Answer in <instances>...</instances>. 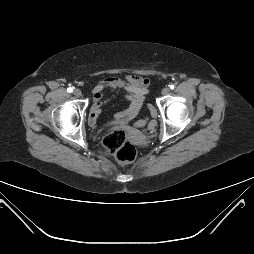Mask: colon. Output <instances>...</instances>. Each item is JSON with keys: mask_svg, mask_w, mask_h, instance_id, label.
Segmentation results:
<instances>
[{"mask_svg": "<svg viewBox=\"0 0 254 254\" xmlns=\"http://www.w3.org/2000/svg\"><path fill=\"white\" fill-rule=\"evenodd\" d=\"M103 145L123 166L129 165L135 160L136 149L129 142L127 130L123 127L110 131L105 137Z\"/></svg>", "mask_w": 254, "mask_h": 254, "instance_id": "5ec220e1", "label": "colon"}]
</instances>
